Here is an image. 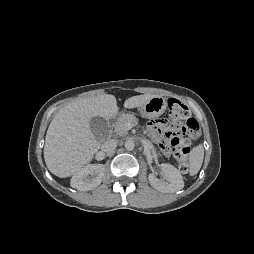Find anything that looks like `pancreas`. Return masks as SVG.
<instances>
[{
  "instance_id": "obj_1",
  "label": "pancreas",
  "mask_w": 254,
  "mask_h": 254,
  "mask_svg": "<svg viewBox=\"0 0 254 254\" xmlns=\"http://www.w3.org/2000/svg\"><path fill=\"white\" fill-rule=\"evenodd\" d=\"M138 119L133 114H124L118 118L114 124V132L118 136H124L127 134V123L136 124Z\"/></svg>"
}]
</instances>
